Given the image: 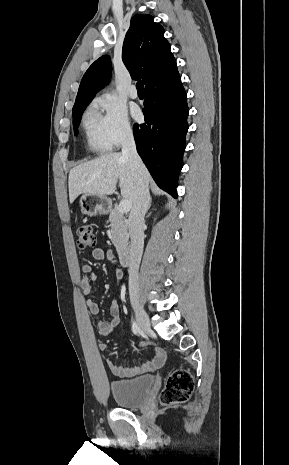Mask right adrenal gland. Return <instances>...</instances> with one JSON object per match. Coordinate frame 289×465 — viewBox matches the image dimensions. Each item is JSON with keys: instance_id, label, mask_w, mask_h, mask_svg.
Returning <instances> with one entry per match:
<instances>
[{"instance_id": "1", "label": "right adrenal gland", "mask_w": 289, "mask_h": 465, "mask_svg": "<svg viewBox=\"0 0 289 465\" xmlns=\"http://www.w3.org/2000/svg\"><path fill=\"white\" fill-rule=\"evenodd\" d=\"M151 203H152V199L150 198V201H149V205H148V209H147V210H149V209H150V207H151Z\"/></svg>"}]
</instances>
